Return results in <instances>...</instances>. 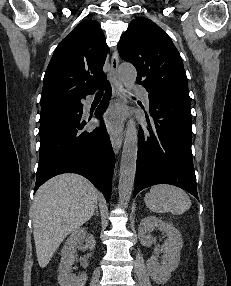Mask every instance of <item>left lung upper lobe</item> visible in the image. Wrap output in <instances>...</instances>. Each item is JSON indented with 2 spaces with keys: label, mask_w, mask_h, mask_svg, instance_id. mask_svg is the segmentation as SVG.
<instances>
[{
  "label": "left lung upper lobe",
  "mask_w": 231,
  "mask_h": 286,
  "mask_svg": "<svg viewBox=\"0 0 231 286\" xmlns=\"http://www.w3.org/2000/svg\"><path fill=\"white\" fill-rule=\"evenodd\" d=\"M121 58L137 69V83L149 93L190 102L188 81L180 54L169 36L153 21H131L118 43Z\"/></svg>",
  "instance_id": "1"
}]
</instances>
